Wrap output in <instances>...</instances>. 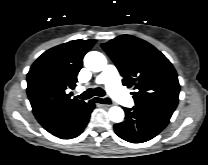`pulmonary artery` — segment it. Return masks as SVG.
<instances>
[{
	"instance_id": "pulmonary-artery-1",
	"label": "pulmonary artery",
	"mask_w": 208,
	"mask_h": 165,
	"mask_svg": "<svg viewBox=\"0 0 208 165\" xmlns=\"http://www.w3.org/2000/svg\"><path fill=\"white\" fill-rule=\"evenodd\" d=\"M96 82L104 84L110 95L121 104H131L133 99L128 95L120 82L117 69L113 65H108L97 77Z\"/></svg>"
}]
</instances>
